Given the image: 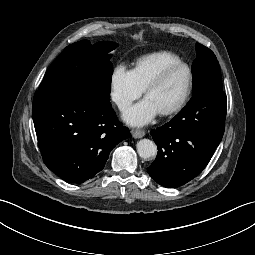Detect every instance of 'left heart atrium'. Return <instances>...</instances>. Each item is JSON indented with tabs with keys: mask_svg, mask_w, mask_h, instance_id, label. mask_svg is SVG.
Listing matches in <instances>:
<instances>
[{
	"mask_svg": "<svg viewBox=\"0 0 255 255\" xmlns=\"http://www.w3.org/2000/svg\"><path fill=\"white\" fill-rule=\"evenodd\" d=\"M159 113L157 108L146 98L124 112L125 120L131 124L142 125L152 121Z\"/></svg>",
	"mask_w": 255,
	"mask_h": 255,
	"instance_id": "1",
	"label": "left heart atrium"
}]
</instances>
